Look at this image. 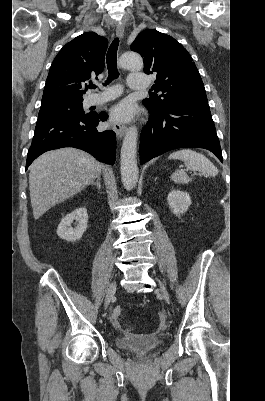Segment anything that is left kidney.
Here are the masks:
<instances>
[{
  "label": "left kidney",
  "mask_w": 265,
  "mask_h": 401,
  "mask_svg": "<svg viewBox=\"0 0 265 401\" xmlns=\"http://www.w3.org/2000/svg\"><path fill=\"white\" fill-rule=\"evenodd\" d=\"M167 201L174 215H181V213H185L188 207H190L191 196L189 192H185V190L174 188V190H171V192H169L167 196Z\"/></svg>",
  "instance_id": "obj_1"
}]
</instances>
